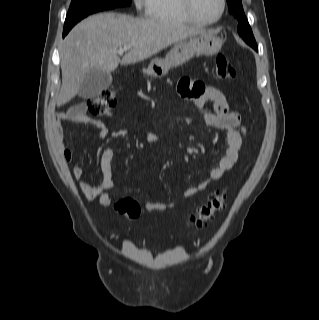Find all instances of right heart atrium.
Here are the masks:
<instances>
[{
	"label": "right heart atrium",
	"instance_id": "1",
	"mask_svg": "<svg viewBox=\"0 0 319 320\" xmlns=\"http://www.w3.org/2000/svg\"><path fill=\"white\" fill-rule=\"evenodd\" d=\"M135 8L138 11L147 10L150 0H133Z\"/></svg>",
	"mask_w": 319,
	"mask_h": 320
}]
</instances>
